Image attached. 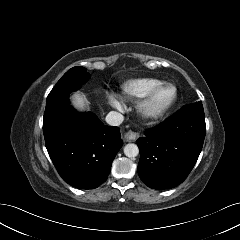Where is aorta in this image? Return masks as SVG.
I'll return each instance as SVG.
<instances>
[{
	"instance_id": "1",
	"label": "aorta",
	"mask_w": 240,
	"mask_h": 240,
	"mask_svg": "<svg viewBox=\"0 0 240 240\" xmlns=\"http://www.w3.org/2000/svg\"><path fill=\"white\" fill-rule=\"evenodd\" d=\"M124 154L129 158H134L139 154V148L134 143H129L124 147Z\"/></svg>"
}]
</instances>
